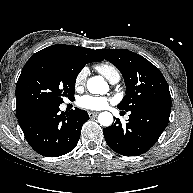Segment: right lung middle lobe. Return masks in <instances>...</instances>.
Masks as SVG:
<instances>
[{
  "label": "right lung middle lobe",
  "instance_id": "dd1d6c3e",
  "mask_svg": "<svg viewBox=\"0 0 193 193\" xmlns=\"http://www.w3.org/2000/svg\"><path fill=\"white\" fill-rule=\"evenodd\" d=\"M86 64L65 58L27 61L16 84V114L28 115L48 105L73 98L75 82Z\"/></svg>",
  "mask_w": 193,
  "mask_h": 193
}]
</instances>
